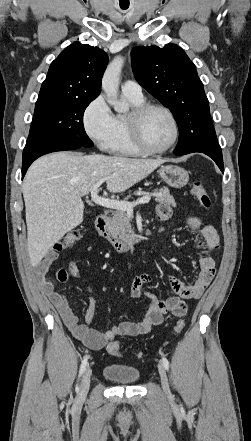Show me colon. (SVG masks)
Here are the masks:
<instances>
[{
    "mask_svg": "<svg viewBox=\"0 0 251 441\" xmlns=\"http://www.w3.org/2000/svg\"><path fill=\"white\" fill-rule=\"evenodd\" d=\"M193 196L198 200L201 207L204 209H210L212 202L209 194L201 182H194L191 190ZM81 238V234L78 230H71L66 233L54 246L55 251H61L76 244ZM68 274L64 269L57 272L56 278L59 281L66 280ZM185 327L183 320H178L174 325L175 333H180ZM108 352L112 355H119L121 350V344L118 341H113L108 345Z\"/></svg>",
    "mask_w": 251,
    "mask_h": 441,
    "instance_id": "obj_1",
    "label": "colon"
}]
</instances>
